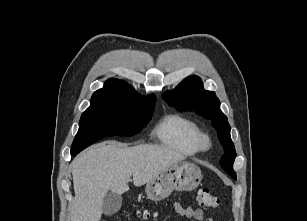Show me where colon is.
<instances>
[{"instance_id":"obj_1","label":"colon","mask_w":307,"mask_h":221,"mask_svg":"<svg viewBox=\"0 0 307 221\" xmlns=\"http://www.w3.org/2000/svg\"><path fill=\"white\" fill-rule=\"evenodd\" d=\"M197 202L204 208H216L219 199L207 188L201 187L196 192Z\"/></svg>"}]
</instances>
